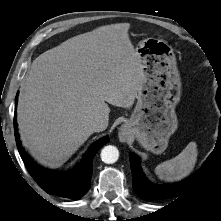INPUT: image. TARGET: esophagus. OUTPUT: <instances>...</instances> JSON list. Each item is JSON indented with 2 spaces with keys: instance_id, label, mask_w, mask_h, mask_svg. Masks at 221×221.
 Masks as SVG:
<instances>
[{
  "instance_id": "obj_1",
  "label": "esophagus",
  "mask_w": 221,
  "mask_h": 221,
  "mask_svg": "<svg viewBox=\"0 0 221 221\" xmlns=\"http://www.w3.org/2000/svg\"><path fill=\"white\" fill-rule=\"evenodd\" d=\"M130 131L126 125L119 129L118 137L121 142H126L129 138Z\"/></svg>"
}]
</instances>
